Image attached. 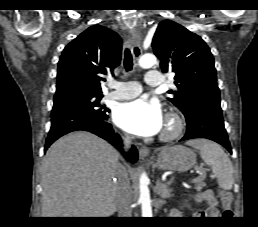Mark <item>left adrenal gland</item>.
Instances as JSON below:
<instances>
[{
	"label": "left adrenal gland",
	"mask_w": 258,
	"mask_h": 227,
	"mask_svg": "<svg viewBox=\"0 0 258 227\" xmlns=\"http://www.w3.org/2000/svg\"><path fill=\"white\" fill-rule=\"evenodd\" d=\"M173 178H171L168 182L162 183L159 179L156 182V192L163 199H168L171 197V189L170 184L172 183Z\"/></svg>",
	"instance_id": "1"
}]
</instances>
